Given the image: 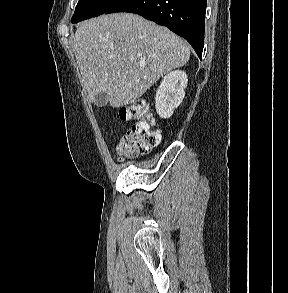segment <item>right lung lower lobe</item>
<instances>
[{"mask_svg": "<svg viewBox=\"0 0 288 293\" xmlns=\"http://www.w3.org/2000/svg\"><path fill=\"white\" fill-rule=\"evenodd\" d=\"M131 12L185 38L202 58L206 0H120L105 13Z\"/></svg>", "mask_w": 288, "mask_h": 293, "instance_id": "right-lung-lower-lobe-1", "label": "right lung lower lobe"}]
</instances>
